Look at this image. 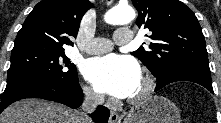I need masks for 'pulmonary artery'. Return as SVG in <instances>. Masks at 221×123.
Returning <instances> with one entry per match:
<instances>
[{
  "mask_svg": "<svg viewBox=\"0 0 221 123\" xmlns=\"http://www.w3.org/2000/svg\"><path fill=\"white\" fill-rule=\"evenodd\" d=\"M131 39L132 32L129 29L120 28L114 34V42L107 38H95L85 47V51L89 54H102L110 51L114 43L123 45L129 43Z\"/></svg>",
  "mask_w": 221,
  "mask_h": 123,
  "instance_id": "pulmonary-artery-1",
  "label": "pulmonary artery"
}]
</instances>
